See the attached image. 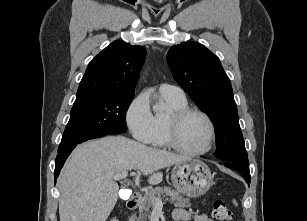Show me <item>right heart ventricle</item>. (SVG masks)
I'll return each instance as SVG.
<instances>
[{"instance_id": "obj_1", "label": "right heart ventricle", "mask_w": 307, "mask_h": 221, "mask_svg": "<svg viewBox=\"0 0 307 221\" xmlns=\"http://www.w3.org/2000/svg\"><path fill=\"white\" fill-rule=\"evenodd\" d=\"M161 98L166 103L168 110L166 112H157L153 116V132L149 144H152L157 147H168V117L173 111L188 107V103L186 98H177L165 94H161Z\"/></svg>"}]
</instances>
